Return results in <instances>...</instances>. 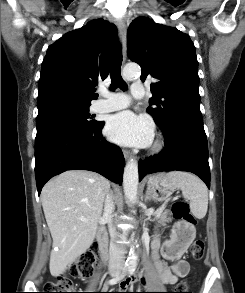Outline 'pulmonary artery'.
I'll return each instance as SVG.
<instances>
[{"mask_svg":"<svg viewBox=\"0 0 245 293\" xmlns=\"http://www.w3.org/2000/svg\"><path fill=\"white\" fill-rule=\"evenodd\" d=\"M102 99L96 102L94 110L96 112H112L124 109L130 105L128 96L124 93H114L110 91H101ZM146 91L142 83H133L131 94L135 98H141Z\"/></svg>","mask_w":245,"mask_h":293,"instance_id":"obj_1","label":"pulmonary artery"}]
</instances>
